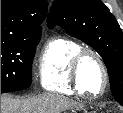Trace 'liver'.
I'll use <instances>...</instances> for the list:
<instances>
[{"mask_svg":"<svg viewBox=\"0 0 123 113\" xmlns=\"http://www.w3.org/2000/svg\"><path fill=\"white\" fill-rule=\"evenodd\" d=\"M76 104L59 95L45 94L33 97L1 95V113H60Z\"/></svg>","mask_w":123,"mask_h":113,"instance_id":"6515ba94","label":"liver"}]
</instances>
